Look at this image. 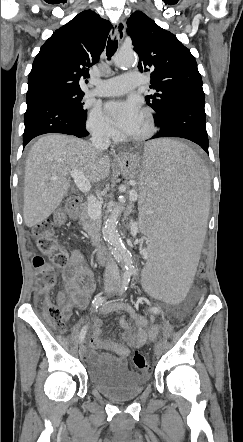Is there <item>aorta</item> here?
I'll return each instance as SVG.
<instances>
[{
  "label": "aorta",
  "mask_w": 243,
  "mask_h": 442,
  "mask_svg": "<svg viewBox=\"0 0 243 442\" xmlns=\"http://www.w3.org/2000/svg\"><path fill=\"white\" fill-rule=\"evenodd\" d=\"M135 64L136 57L133 51H121L115 58V66L120 69L132 68ZM123 209L121 202L112 208L110 216L104 222L102 232L115 259L125 265L126 273H130L134 270L132 255L125 248L117 229L118 219Z\"/></svg>",
  "instance_id": "obj_1"
}]
</instances>
